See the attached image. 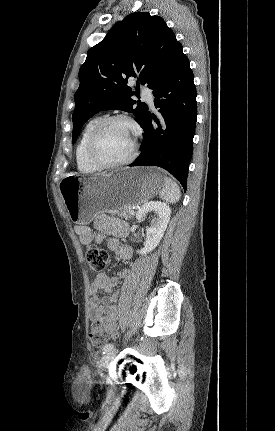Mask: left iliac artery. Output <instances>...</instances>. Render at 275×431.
Instances as JSON below:
<instances>
[{"label": "left iliac artery", "mask_w": 275, "mask_h": 431, "mask_svg": "<svg viewBox=\"0 0 275 431\" xmlns=\"http://www.w3.org/2000/svg\"><path fill=\"white\" fill-rule=\"evenodd\" d=\"M114 350V345L109 343L103 348V354L110 353Z\"/></svg>", "instance_id": "1"}]
</instances>
